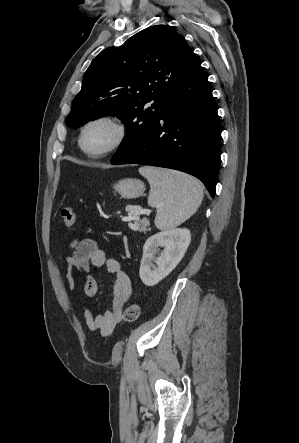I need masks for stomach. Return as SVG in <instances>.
Returning <instances> with one entry per match:
<instances>
[{"instance_id": "1", "label": "stomach", "mask_w": 299, "mask_h": 443, "mask_svg": "<svg viewBox=\"0 0 299 443\" xmlns=\"http://www.w3.org/2000/svg\"><path fill=\"white\" fill-rule=\"evenodd\" d=\"M114 189L125 198H137L145 191V185L142 181L133 178L120 180L114 185Z\"/></svg>"}]
</instances>
